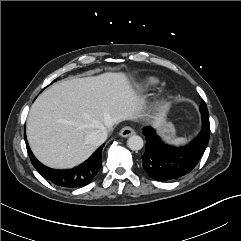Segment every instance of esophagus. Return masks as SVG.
Listing matches in <instances>:
<instances>
[{"label": "esophagus", "mask_w": 241, "mask_h": 241, "mask_svg": "<svg viewBox=\"0 0 241 241\" xmlns=\"http://www.w3.org/2000/svg\"><path fill=\"white\" fill-rule=\"evenodd\" d=\"M134 133H135V130L130 126L123 127L119 132L120 136L122 137H129Z\"/></svg>", "instance_id": "esophagus-1"}]
</instances>
